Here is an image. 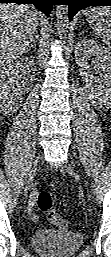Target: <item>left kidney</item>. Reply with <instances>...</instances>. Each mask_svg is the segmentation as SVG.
I'll return each instance as SVG.
<instances>
[{
	"instance_id": "5707ae66",
	"label": "left kidney",
	"mask_w": 111,
	"mask_h": 257,
	"mask_svg": "<svg viewBox=\"0 0 111 257\" xmlns=\"http://www.w3.org/2000/svg\"><path fill=\"white\" fill-rule=\"evenodd\" d=\"M76 63L81 73L93 81L91 94L100 105H111V52L93 39H81L76 45ZM91 60L98 77L90 72L88 61Z\"/></svg>"
}]
</instances>
